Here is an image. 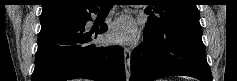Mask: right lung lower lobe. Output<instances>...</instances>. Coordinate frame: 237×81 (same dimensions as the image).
I'll list each match as a JSON object with an SVG mask.
<instances>
[{
	"mask_svg": "<svg viewBox=\"0 0 237 81\" xmlns=\"http://www.w3.org/2000/svg\"><path fill=\"white\" fill-rule=\"evenodd\" d=\"M90 18L88 13L78 18L41 23L31 81H65L75 78L125 81L122 48L90 44L93 35L85 32V24ZM106 30L107 26L103 24L96 33Z\"/></svg>",
	"mask_w": 237,
	"mask_h": 81,
	"instance_id": "right-lung-lower-lobe-1",
	"label": "right lung lower lobe"
}]
</instances>
